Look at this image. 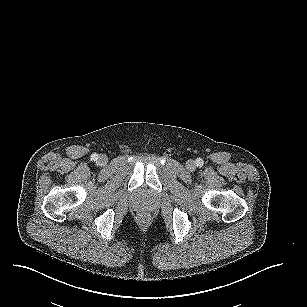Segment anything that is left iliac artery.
Segmentation results:
<instances>
[{"instance_id":"1","label":"left iliac artery","mask_w":307,"mask_h":307,"mask_svg":"<svg viewBox=\"0 0 307 307\" xmlns=\"http://www.w3.org/2000/svg\"><path fill=\"white\" fill-rule=\"evenodd\" d=\"M204 164V161L201 158L196 159V165L197 167H202Z\"/></svg>"}]
</instances>
